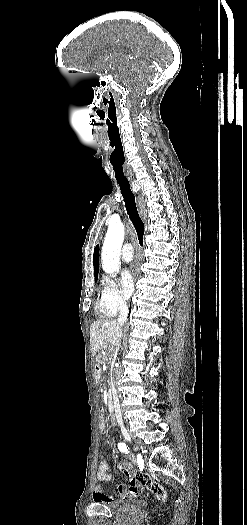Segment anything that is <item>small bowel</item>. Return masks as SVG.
<instances>
[{
	"mask_svg": "<svg viewBox=\"0 0 247 525\" xmlns=\"http://www.w3.org/2000/svg\"><path fill=\"white\" fill-rule=\"evenodd\" d=\"M105 428H102V430H104ZM120 473L122 475H126L128 473V470L126 468H122L120 470ZM130 482H129V494L131 497L133 498H136L139 496L140 494V491H139V487H141L142 485V482L141 481H144V482H147L146 483V486L148 488H151V490H153L155 492V494L157 495L156 497V500L158 501V505L160 507H163L165 505V502H167L169 500V497L167 495H164L163 497L161 496L162 494V491L160 490V487H158L157 485H155V483H152L151 481H149L150 479V476L149 474L147 473H144V474H141V473H133L131 474L130 476ZM112 480V474L109 470V463L107 460H102L100 463H99V467H98V472L96 474V481L98 484H101V483H104V482H109ZM128 485V482L126 480H123L121 482V485H119L118 487V490L119 493L118 495H107L101 488L100 485H98L95 489V493H94V499L95 501L98 502L99 505L101 506H117L118 502H119V499H124L126 497V495L122 494L124 492H126L127 490V486ZM153 486V487H152ZM164 494H167V491H164Z\"/></svg>",
	"mask_w": 247,
	"mask_h": 525,
	"instance_id": "1",
	"label": "small bowel"
}]
</instances>
